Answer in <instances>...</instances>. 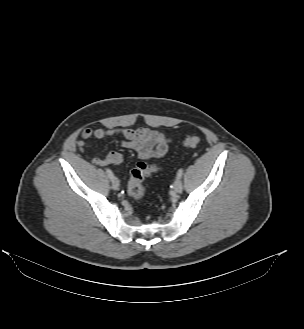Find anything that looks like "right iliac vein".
Returning a JSON list of instances; mask_svg holds the SVG:
<instances>
[{
	"mask_svg": "<svg viewBox=\"0 0 304 329\" xmlns=\"http://www.w3.org/2000/svg\"><path fill=\"white\" fill-rule=\"evenodd\" d=\"M112 188L114 190H118L119 189V181H118V179L116 177H114L112 179Z\"/></svg>",
	"mask_w": 304,
	"mask_h": 329,
	"instance_id": "1",
	"label": "right iliac vein"
}]
</instances>
